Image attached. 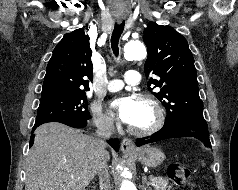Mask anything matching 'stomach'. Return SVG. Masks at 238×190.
Segmentation results:
<instances>
[{
  "mask_svg": "<svg viewBox=\"0 0 238 190\" xmlns=\"http://www.w3.org/2000/svg\"><path fill=\"white\" fill-rule=\"evenodd\" d=\"M133 156L148 167H158L165 159L164 153L156 147H141L133 153Z\"/></svg>",
  "mask_w": 238,
  "mask_h": 190,
  "instance_id": "stomach-1",
  "label": "stomach"
}]
</instances>
